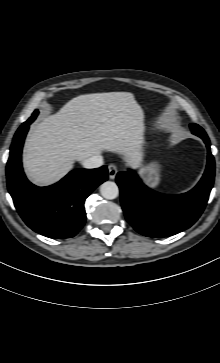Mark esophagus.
I'll return each instance as SVG.
<instances>
[{
	"label": "esophagus",
	"mask_w": 220,
	"mask_h": 363,
	"mask_svg": "<svg viewBox=\"0 0 220 363\" xmlns=\"http://www.w3.org/2000/svg\"><path fill=\"white\" fill-rule=\"evenodd\" d=\"M117 174V167L114 164L108 166V175L110 179H114Z\"/></svg>",
	"instance_id": "1"
}]
</instances>
